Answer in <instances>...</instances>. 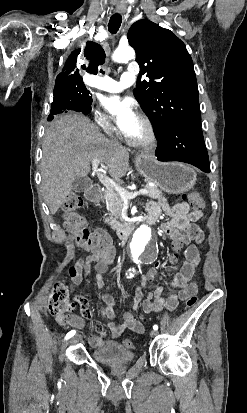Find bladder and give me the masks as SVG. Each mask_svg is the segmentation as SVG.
Segmentation results:
<instances>
[{
	"label": "bladder",
	"instance_id": "bladder-1",
	"mask_svg": "<svg viewBox=\"0 0 247 413\" xmlns=\"http://www.w3.org/2000/svg\"><path fill=\"white\" fill-rule=\"evenodd\" d=\"M91 354L95 361L106 364L135 360V353L123 348L120 343L111 341H105L99 349L93 350Z\"/></svg>",
	"mask_w": 247,
	"mask_h": 413
}]
</instances>
